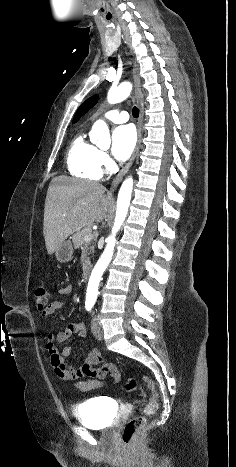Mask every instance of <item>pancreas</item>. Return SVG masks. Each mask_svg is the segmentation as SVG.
I'll return each mask as SVG.
<instances>
[{
    "label": "pancreas",
    "instance_id": "cf45deb5",
    "mask_svg": "<svg viewBox=\"0 0 236 467\" xmlns=\"http://www.w3.org/2000/svg\"><path fill=\"white\" fill-rule=\"evenodd\" d=\"M92 234V230L90 228H84L82 230L77 231L73 236H72V242L74 244V247L76 249L81 248L82 251H87L90 249V252H93L94 246H90L91 244L90 241L86 242L84 240L85 235ZM90 261L89 258L87 257L85 260V263L83 264V270L86 269V267L89 265Z\"/></svg>",
    "mask_w": 236,
    "mask_h": 467
}]
</instances>
